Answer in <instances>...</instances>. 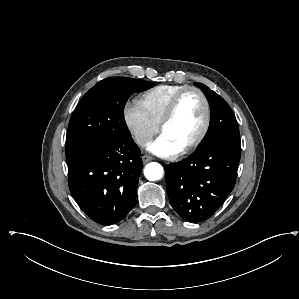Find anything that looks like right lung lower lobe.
<instances>
[{"label":"right lung lower lobe","instance_id":"obj_1","mask_svg":"<svg viewBox=\"0 0 299 299\" xmlns=\"http://www.w3.org/2000/svg\"><path fill=\"white\" fill-rule=\"evenodd\" d=\"M142 166L132 137L101 146L69 165L70 192L95 222L113 224L132 209Z\"/></svg>","mask_w":299,"mask_h":299}]
</instances>
